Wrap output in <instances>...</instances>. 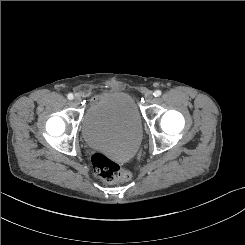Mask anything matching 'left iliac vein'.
Segmentation results:
<instances>
[{
	"label": "left iliac vein",
	"mask_w": 245,
	"mask_h": 245,
	"mask_svg": "<svg viewBox=\"0 0 245 245\" xmlns=\"http://www.w3.org/2000/svg\"><path fill=\"white\" fill-rule=\"evenodd\" d=\"M145 99H146V101H151L153 99V92L152 91H148L145 94Z\"/></svg>",
	"instance_id": "1"
}]
</instances>
